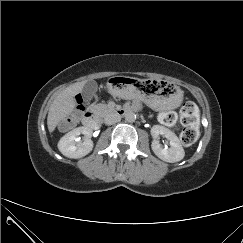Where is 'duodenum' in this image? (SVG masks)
Listing matches in <instances>:
<instances>
[{
  "label": "duodenum",
  "instance_id": "duodenum-1",
  "mask_svg": "<svg viewBox=\"0 0 243 243\" xmlns=\"http://www.w3.org/2000/svg\"><path fill=\"white\" fill-rule=\"evenodd\" d=\"M109 112L118 116H124L127 113L131 112V108L128 107L113 108L110 109ZM101 114H102L101 111H94V110L87 111L83 117L84 125L91 129H97L100 125Z\"/></svg>",
  "mask_w": 243,
  "mask_h": 243
}]
</instances>
